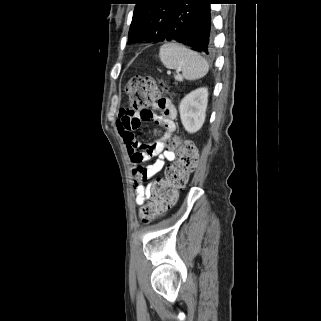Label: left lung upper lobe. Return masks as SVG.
<instances>
[{
  "instance_id": "5c2ea615",
  "label": "left lung upper lobe",
  "mask_w": 321,
  "mask_h": 321,
  "mask_svg": "<svg viewBox=\"0 0 321 321\" xmlns=\"http://www.w3.org/2000/svg\"><path fill=\"white\" fill-rule=\"evenodd\" d=\"M177 0H135V9L128 42L148 40L161 42L166 24Z\"/></svg>"
}]
</instances>
